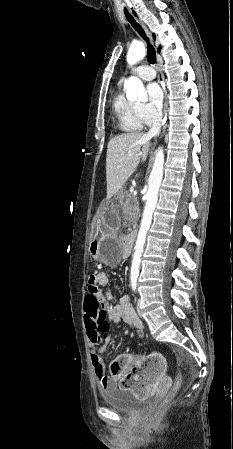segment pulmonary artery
Wrapping results in <instances>:
<instances>
[{
  "label": "pulmonary artery",
  "instance_id": "pulmonary-artery-1",
  "mask_svg": "<svg viewBox=\"0 0 233 449\" xmlns=\"http://www.w3.org/2000/svg\"><path fill=\"white\" fill-rule=\"evenodd\" d=\"M135 74L142 80L150 81L156 77L155 70L148 65H142L138 67Z\"/></svg>",
  "mask_w": 233,
  "mask_h": 449
}]
</instances>
